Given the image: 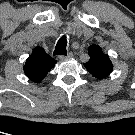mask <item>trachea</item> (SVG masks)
Masks as SVG:
<instances>
[{
	"mask_svg": "<svg viewBox=\"0 0 135 135\" xmlns=\"http://www.w3.org/2000/svg\"><path fill=\"white\" fill-rule=\"evenodd\" d=\"M67 37L63 35L56 44L53 55H67Z\"/></svg>",
	"mask_w": 135,
	"mask_h": 135,
	"instance_id": "obj_1",
	"label": "trachea"
}]
</instances>
